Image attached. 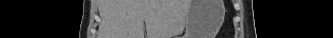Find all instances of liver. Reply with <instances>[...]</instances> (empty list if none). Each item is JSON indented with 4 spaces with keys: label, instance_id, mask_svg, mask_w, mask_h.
Segmentation results:
<instances>
[{
    "label": "liver",
    "instance_id": "6515ba94",
    "mask_svg": "<svg viewBox=\"0 0 333 38\" xmlns=\"http://www.w3.org/2000/svg\"><path fill=\"white\" fill-rule=\"evenodd\" d=\"M161 1L159 0H143L141 9L146 11H156L160 8Z\"/></svg>",
    "mask_w": 333,
    "mask_h": 38
}]
</instances>
